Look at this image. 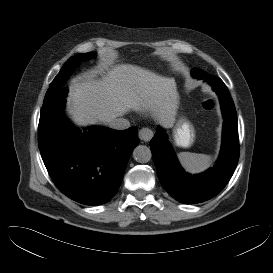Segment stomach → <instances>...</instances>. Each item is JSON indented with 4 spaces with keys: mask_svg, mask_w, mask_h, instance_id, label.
Listing matches in <instances>:
<instances>
[{
    "mask_svg": "<svg viewBox=\"0 0 273 273\" xmlns=\"http://www.w3.org/2000/svg\"><path fill=\"white\" fill-rule=\"evenodd\" d=\"M174 139L177 146L189 147L194 140V128L185 118L181 117L174 129Z\"/></svg>",
    "mask_w": 273,
    "mask_h": 273,
    "instance_id": "0dacf381",
    "label": "stomach"
}]
</instances>
